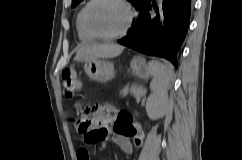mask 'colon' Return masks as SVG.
<instances>
[{
	"label": "colon",
	"instance_id": "5ec220e1",
	"mask_svg": "<svg viewBox=\"0 0 242 160\" xmlns=\"http://www.w3.org/2000/svg\"><path fill=\"white\" fill-rule=\"evenodd\" d=\"M61 81L62 91L66 97H72L82 86L80 79L71 68H66L62 71ZM81 113L84 118L78 122V129L85 133L86 143H95L103 139L106 136V132H102L99 129H92L91 125L92 120L99 116L98 113L92 107L83 108ZM114 129L124 134L134 133L136 128L132 115L124 111L119 112L115 119Z\"/></svg>",
	"mask_w": 242,
	"mask_h": 160
}]
</instances>
